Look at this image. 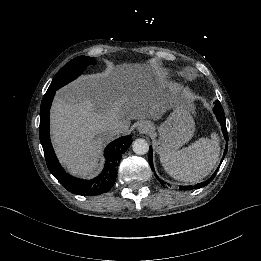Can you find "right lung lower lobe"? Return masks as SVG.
<instances>
[{
    "label": "right lung lower lobe",
    "instance_id": "right-lung-lower-lobe-1",
    "mask_svg": "<svg viewBox=\"0 0 261 261\" xmlns=\"http://www.w3.org/2000/svg\"><path fill=\"white\" fill-rule=\"evenodd\" d=\"M55 92L44 96L40 108L39 138L49 171L71 193L84 196H96L107 193L115 183L117 167L122 154L132 142L131 135L111 142L105 149L106 162L102 172L95 178L86 180L73 177L59 164L54 153L49 133V110Z\"/></svg>",
    "mask_w": 261,
    "mask_h": 261
}]
</instances>
